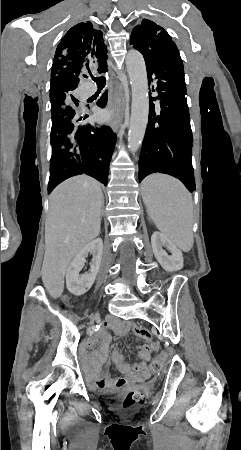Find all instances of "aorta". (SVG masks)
Masks as SVG:
<instances>
[{
  "label": "aorta",
  "mask_w": 241,
  "mask_h": 450,
  "mask_svg": "<svg viewBox=\"0 0 241 450\" xmlns=\"http://www.w3.org/2000/svg\"><path fill=\"white\" fill-rule=\"evenodd\" d=\"M126 66L131 84L132 106L128 132V148L136 152L144 139L149 115V88L146 65L142 54L130 50Z\"/></svg>",
  "instance_id": "obj_1"
}]
</instances>
